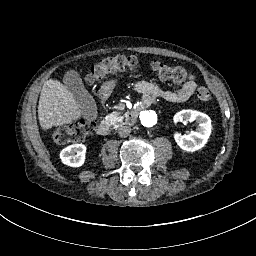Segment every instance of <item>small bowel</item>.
Wrapping results in <instances>:
<instances>
[{
    "label": "small bowel",
    "mask_w": 256,
    "mask_h": 256,
    "mask_svg": "<svg viewBox=\"0 0 256 256\" xmlns=\"http://www.w3.org/2000/svg\"><path fill=\"white\" fill-rule=\"evenodd\" d=\"M130 87L143 95V105H149L155 100H164L171 103L186 101L195 93L197 84L193 80H188L178 90H167L148 81H135Z\"/></svg>",
    "instance_id": "small-bowel-1"
}]
</instances>
